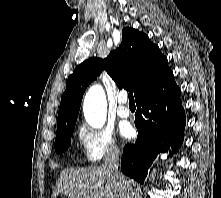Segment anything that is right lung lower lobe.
<instances>
[{"mask_svg": "<svg viewBox=\"0 0 221 198\" xmlns=\"http://www.w3.org/2000/svg\"><path fill=\"white\" fill-rule=\"evenodd\" d=\"M180 95L169 70L136 99L138 137L134 144L125 145L121 171L139 183H143L160 152L171 146L169 155L172 156L183 142L186 118Z\"/></svg>", "mask_w": 221, "mask_h": 198, "instance_id": "right-lung-lower-lobe-1", "label": "right lung lower lobe"}]
</instances>
